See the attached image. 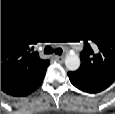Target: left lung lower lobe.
I'll use <instances>...</instances> for the list:
<instances>
[{"mask_svg":"<svg viewBox=\"0 0 115 114\" xmlns=\"http://www.w3.org/2000/svg\"><path fill=\"white\" fill-rule=\"evenodd\" d=\"M68 76L71 83L76 88L88 93L100 92L111 85L110 83L99 80V79L75 75L73 72H69Z\"/></svg>","mask_w":115,"mask_h":114,"instance_id":"0a47b994","label":"left lung lower lobe"}]
</instances>
